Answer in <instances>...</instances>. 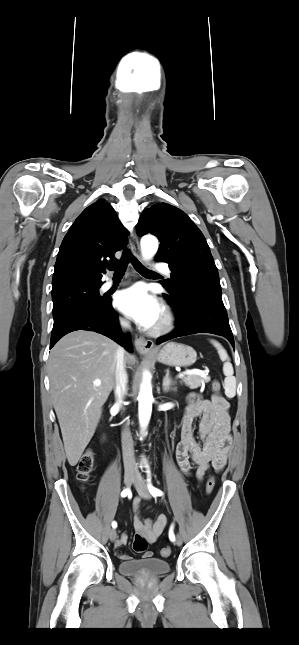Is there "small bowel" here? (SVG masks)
Returning a JSON list of instances; mask_svg holds the SVG:
<instances>
[{"label": "small bowel", "instance_id": "obj_1", "mask_svg": "<svg viewBox=\"0 0 299 645\" xmlns=\"http://www.w3.org/2000/svg\"><path fill=\"white\" fill-rule=\"evenodd\" d=\"M229 403L220 395L211 399H203L197 394L188 397V403L181 425V439L176 448V461L180 470L191 475V465L197 467L195 478L202 481L210 468L220 471L227 463L232 444L230 435ZM200 417L197 430L194 420ZM133 525L136 534L141 535L150 544L155 543L167 527L168 519L159 515L155 520L143 519L140 515V499L133 500ZM128 536L122 533L116 543L120 548L127 543ZM121 560H129L130 556L117 553ZM152 556L146 552L144 558Z\"/></svg>", "mask_w": 299, "mask_h": 645}]
</instances>
